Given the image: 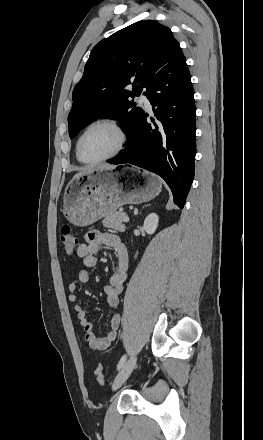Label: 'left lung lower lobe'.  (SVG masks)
<instances>
[{"instance_id":"left-lung-lower-lobe-1","label":"left lung lower lobe","mask_w":263,"mask_h":440,"mask_svg":"<svg viewBox=\"0 0 263 440\" xmlns=\"http://www.w3.org/2000/svg\"><path fill=\"white\" fill-rule=\"evenodd\" d=\"M145 95L157 121L148 123V114L143 113L127 133L125 148L108 163H129L158 174L182 209L194 178L196 110L191 76L179 44L170 49Z\"/></svg>"}]
</instances>
